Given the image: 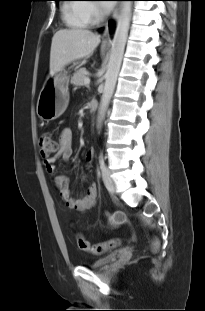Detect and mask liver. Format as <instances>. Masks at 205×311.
I'll list each match as a JSON object with an SVG mask.
<instances>
[{
    "label": "liver",
    "instance_id": "obj_1",
    "mask_svg": "<svg viewBox=\"0 0 205 311\" xmlns=\"http://www.w3.org/2000/svg\"><path fill=\"white\" fill-rule=\"evenodd\" d=\"M100 43V36L87 29H62L51 43L50 75L53 76L73 61L90 56Z\"/></svg>",
    "mask_w": 205,
    "mask_h": 311
}]
</instances>
